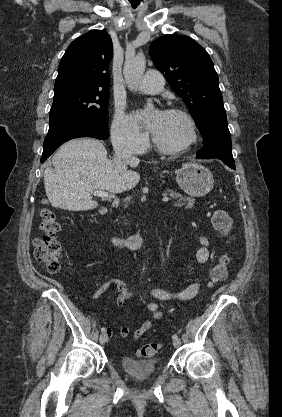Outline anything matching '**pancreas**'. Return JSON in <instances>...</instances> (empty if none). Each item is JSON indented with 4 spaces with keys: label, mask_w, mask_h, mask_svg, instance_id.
<instances>
[{
    "label": "pancreas",
    "mask_w": 282,
    "mask_h": 417,
    "mask_svg": "<svg viewBox=\"0 0 282 417\" xmlns=\"http://www.w3.org/2000/svg\"><path fill=\"white\" fill-rule=\"evenodd\" d=\"M167 192H169L171 198H179V200L174 202V206H183V204H186L185 209H192V206H194L195 198H192V196H183V194L175 192L171 188H168Z\"/></svg>",
    "instance_id": "obj_1"
}]
</instances>
